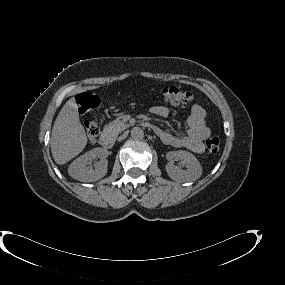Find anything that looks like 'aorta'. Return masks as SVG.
I'll return each instance as SVG.
<instances>
[{"label": "aorta", "instance_id": "1", "mask_svg": "<svg viewBox=\"0 0 285 285\" xmlns=\"http://www.w3.org/2000/svg\"><path fill=\"white\" fill-rule=\"evenodd\" d=\"M131 136L135 140H141L144 138V131L139 127H135L131 130Z\"/></svg>", "mask_w": 285, "mask_h": 285}]
</instances>
